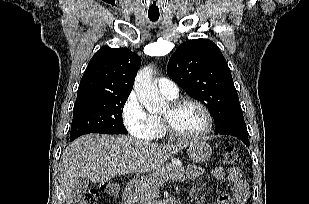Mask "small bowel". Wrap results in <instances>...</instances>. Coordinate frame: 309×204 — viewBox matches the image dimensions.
<instances>
[{
  "label": "small bowel",
  "mask_w": 309,
  "mask_h": 204,
  "mask_svg": "<svg viewBox=\"0 0 309 204\" xmlns=\"http://www.w3.org/2000/svg\"><path fill=\"white\" fill-rule=\"evenodd\" d=\"M192 176H199L202 173L200 168H191ZM211 175L216 180L229 181L233 185L231 195L222 194L219 196L218 204H245L249 197V186L243 178L241 170L238 167H216L212 169Z\"/></svg>",
  "instance_id": "small-bowel-1"
}]
</instances>
